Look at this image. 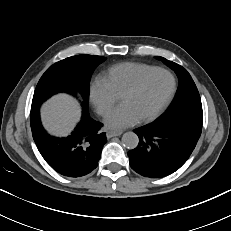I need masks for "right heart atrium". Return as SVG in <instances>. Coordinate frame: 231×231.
<instances>
[{
    "label": "right heart atrium",
    "mask_w": 231,
    "mask_h": 231,
    "mask_svg": "<svg viewBox=\"0 0 231 231\" xmlns=\"http://www.w3.org/2000/svg\"><path fill=\"white\" fill-rule=\"evenodd\" d=\"M90 100L96 111L104 116L117 103L118 97L110 89L103 77H97L90 86Z\"/></svg>",
    "instance_id": "d8ad5b80"
}]
</instances>
